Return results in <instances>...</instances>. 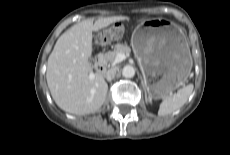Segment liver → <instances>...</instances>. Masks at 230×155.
Instances as JSON below:
<instances>
[{"instance_id":"obj_1","label":"liver","mask_w":230,"mask_h":155,"mask_svg":"<svg viewBox=\"0 0 230 155\" xmlns=\"http://www.w3.org/2000/svg\"><path fill=\"white\" fill-rule=\"evenodd\" d=\"M123 20L129 18L101 17L94 23L92 18L85 19L58 38L48 58L46 79L52 98L62 110L83 115L103 105L108 85L102 73L92 72L89 63L92 33Z\"/></svg>"}]
</instances>
